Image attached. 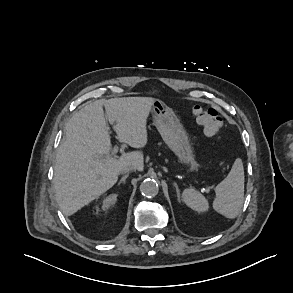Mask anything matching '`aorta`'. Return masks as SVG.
I'll use <instances>...</instances> for the list:
<instances>
[{
    "label": "aorta",
    "instance_id": "1",
    "mask_svg": "<svg viewBox=\"0 0 293 293\" xmlns=\"http://www.w3.org/2000/svg\"><path fill=\"white\" fill-rule=\"evenodd\" d=\"M158 183L154 179L147 178L140 185V192L145 197H154L158 194Z\"/></svg>",
    "mask_w": 293,
    "mask_h": 293
}]
</instances>
